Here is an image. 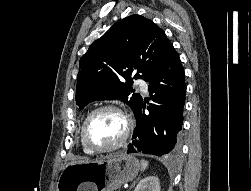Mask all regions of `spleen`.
<instances>
[{
  "instance_id": "obj_1",
  "label": "spleen",
  "mask_w": 251,
  "mask_h": 191,
  "mask_svg": "<svg viewBox=\"0 0 251 191\" xmlns=\"http://www.w3.org/2000/svg\"><path fill=\"white\" fill-rule=\"evenodd\" d=\"M147 165H148V161H146V159H141L142 171L143 169H146Z\"/></svg>"
}]
</instances>
